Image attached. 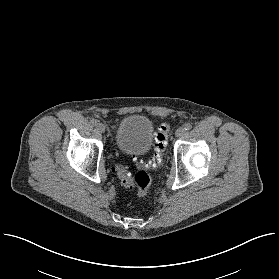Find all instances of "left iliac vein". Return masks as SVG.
I'll return each mask as SVG.
<instances>
[{
  "label": "left iliac vein",
  "instance_id": "1",
  "mask_svg": "<svg viewBox=\"0 0 279 279\" xmlns=\"http://www.w3.org/2000/svg\"><path fill=\"white\" fill-rule=\"evenodd\" d=\"M184 134H185L184 128H180V129H178V130L176 131V136H177V137H183Z\"/></svg>",
  "mask_w": 279,
  "mask_h": 279
}]
</instances>
